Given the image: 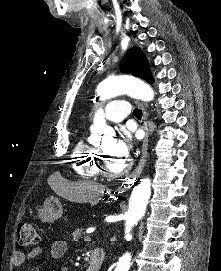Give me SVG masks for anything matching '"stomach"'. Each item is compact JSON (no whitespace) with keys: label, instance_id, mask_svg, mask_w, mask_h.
<instances>
[{"label":"stomach","instance_id":"obj_1","mask_svg":"<svg viewBox=\"0 0 221 271\" xmlns=\"http://www.w3.org/2000/svg\"><path fill=\"white\" fill-rule=\"evenodd\" d=\"M62 213V203H60L59 199L49 197L47 201H44L40 209L39 217L41 221H49V223H52V221L61 217Z\"/></svg>","mask_w":221,"mask_h":271}]
</instances>
